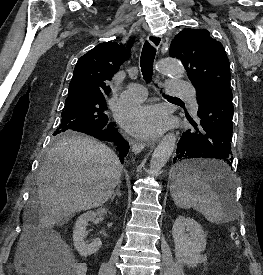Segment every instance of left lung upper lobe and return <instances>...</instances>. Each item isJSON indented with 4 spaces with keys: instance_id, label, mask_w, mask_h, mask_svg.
<instances>
[{
    "instance_id": "left-lung-upper-lobe-1",
    "label": "left lung upper lobe",
    "mask_w": 263,
    "mask_h": 275,
    "mask_svg": "<svg viewBox=\"0 0 263 275\" xmlns=\"http://www.w3.org/2000/svg\"><path fill=\"white\" fill-rule=\"evenodd\" d=\"M170 56L182 61L197 100L219 88L230 89V64L223 45L206 29H183L172 40Z\"/></svg>"
}]
</instances>
